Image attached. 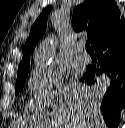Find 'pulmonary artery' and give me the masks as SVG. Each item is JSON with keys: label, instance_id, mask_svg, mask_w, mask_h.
Instances as JSON below:
<instances>
[{"label": "pulmonary artery", "instance_id": "pulmonary-artery-1", "mask_svg": "<svg viewBox=\"0 0 125 128\" xmlns=\"http://www.w3.org/2000/svg\"><path fill=\"white\" fill-rule=\"evenodd\" d=\"M76 60L83 64L90 62V56L85 52L83 43H80L77 47Z\"/></svg>", "mask_w": 125, "mask_h": 128}]
</instances>
